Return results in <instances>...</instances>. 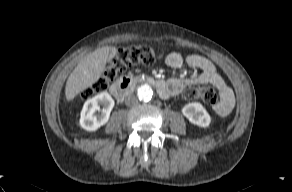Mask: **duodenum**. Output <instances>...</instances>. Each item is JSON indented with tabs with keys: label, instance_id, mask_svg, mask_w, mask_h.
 Segmentation results:
<instances>
[{
	"label": "duodenum",
	"instance_id": "410a0bca",
	"mask_svg": "<svg viewBox=\"0 0 292 192\" xmlns=\"http://www.w3.org/2000/svg\"><path fill=\"white\" fill-rule=\"evenodd\" d=\"M140 82L152 85L162 97L169 94V85L166 81L150 77L122 78L111 87V93L118 101H123Z\"/></svg>",
	"mask_w": 292,
	"mask_h": 192
}]
</instances>
